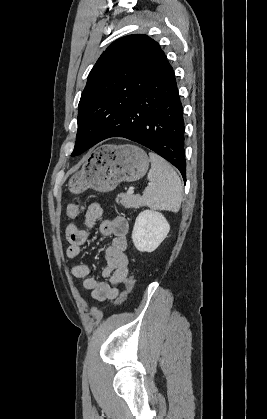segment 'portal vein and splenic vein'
<instances>
[{"mask_svg": "<svg viewBox=\"0 0 267 419\" xmlns=\"http://www.w3.org/2000/svg\"><path fill=\"white\" fill-rule=\"evenodd\" d=\"M149 185H150V183H149ZM128 193H129V194H133V193H134V189H133V188H130V189L128 190Z\"/></svg>", "mask_w": 267, "mask_h": 419, "instance_id": "portal-vein-and-splenic-vein-1", "label": "portal vein and splenic vein"}]
</instances>
